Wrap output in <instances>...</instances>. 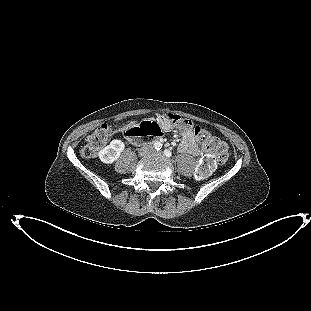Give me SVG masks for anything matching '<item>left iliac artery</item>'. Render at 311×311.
I'll list each match as a JSON object with an SVG mask.
<instances>
[{"label": "left iliac artery", "mask_w": 311, "mask_h": 311, "mask_svg": "<svg viewBox=\"0 0 311 311\" xmlns=\"http://www.w3.org/2000/svg\"><path fill=\"white\" fill-rule=\"evenodd\" d=\"M164 155H165L166 157L170 158V157L172 156V153H171L170 150L165 149V150H164Z\"/></svg>", "instance_id": "44dca946"}]
</instances>
